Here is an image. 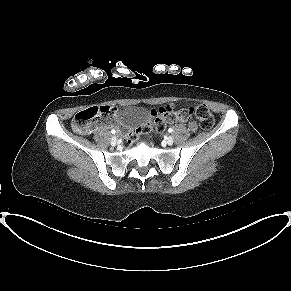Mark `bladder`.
I'll return each instance as SVG.
<instances>
[{"label":"bladder","instance_id":"bladder-1","mask_svg":"<svg viewBox=\"0 0 291 291\" xmlns=\"http://www.w3.org/2000/svg\"><path fill=\"white\" fill-rule=\"evenodd\" d=\"M147 117V112L143 107L126 106L122 108L118 115V122L125 127H133L140 124Z\"/></svg>","mask_w":291,"mask_h":291}]
</instances>
